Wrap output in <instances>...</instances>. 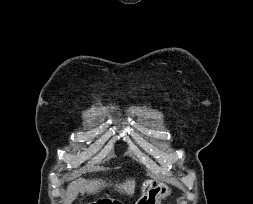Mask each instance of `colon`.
I'll return each mask as SVG.
<instances>
[{"label":"colon","instance_id":"colon-1","mask_svg":"<svg viewBox=\"0 0 253 204\" xmlns=\"http://www.w3.org/2000/svg\"><path fill=\"white\" fill-rule=\"evenodd\" d=\"M106 199H99V200H97V201H95V202H88V203H86V204H106Z\"/></svg>","mask_w":253,"mask_h":204}]
</instances>
